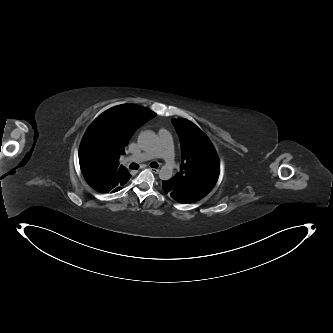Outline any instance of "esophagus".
<instances>
[{"label": "esophagus", "mask_w": 333, "mask_h": 333, "mask_svg": "<svg viewBox=\"0 0 333 333\" xmlns=\"http://www.w3.org/2000/svg\"><path fill=\"white\" fill-rule=\"evenodd\" d=\"M149 169L155 174L159 173V169L152 168V167H149Z\"/></svg>", "instance_id": "esophagus-1"}]
</instances>
